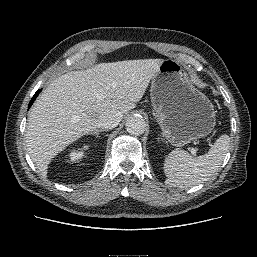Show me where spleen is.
I'll list each match as a JSON object with an SVG mask.
<instances>
[{
	"label": "spleen",
	"instance_id": "obj_1",
	"mask_svg": "<svg viewBox=\"0 0 257 257\" xmlns=\"http://www.w3.org/2000/svg\"><path fill=\"white\" fill-rule=\"evenodd\" d=\"M230 145V137L221 135L207 154L192 157L188 152L175 149L164 161L165 184L190 188L209 180L222 165Z\"/></svg>",
	"mask_w": 257,
	"mask_h": 257
}]
</instances>
